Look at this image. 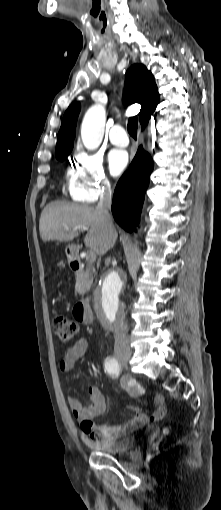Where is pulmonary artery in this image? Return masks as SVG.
Instances as JSON below:
<instances>
[{
  "label": "pulmonary artery",
  "mask_w": 221,
  "mask_h": 510,
  "mask_svg": "<svg viewBox=\"0 0 221 510\" xmlns=\"http://www.w3.org/2000/svg\"><path fill=\"white\" fill-rule=\"evenodd\" d=\"M110 141L112 144L119 147H126L129 144V138L125 128L119 124L112 126L110 130Z\"/></svg>",
  "instance_id": "e3ab8cb5"
}]
</instances>
